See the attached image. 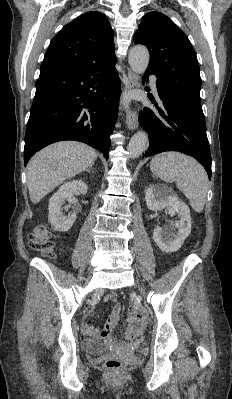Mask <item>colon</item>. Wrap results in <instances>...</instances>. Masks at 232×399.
<instances>
[{
    "mask_svg": "<svg viewBox=\"0 0 232 399\" xmlns=\"http://www.w3.org/2000/svg\"><path fill=\"white\" fill-rule=\"evenodd\" d=\"M37 230L26 237V242L31 249H38L42 257L54 260L58 256L57 249L51 245L48 236L52 233L50 223H37ZM147 323L145 308H132L126 323L130 328V337H139V330H143V324ZM109 347L110 353H137L138 348L134 340H112ZM104 367L109 368V374H124L126 368L125 355H106Z\"/></svg>",
    "mask_w": 232,
    "mask_h": 399,
    "instance_id": "1",
    "label": "colon"
}]
</instances>
